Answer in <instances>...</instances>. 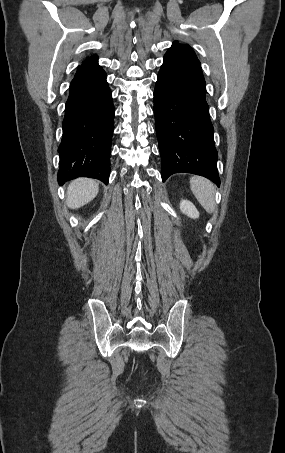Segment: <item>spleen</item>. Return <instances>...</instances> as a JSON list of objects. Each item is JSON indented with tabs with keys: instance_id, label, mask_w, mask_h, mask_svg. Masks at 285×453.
I'll return each instance as SVG.
<instances>
[{
	"instance_id": "spleen-1",
	"label": "spleen",
	"mask_w": 285,
	"mask_h": 453,
	"mask_svg": "<svg viewBox=\"0 0 285 453\" xmlns=\"http://www.w3.org/2000/svg\"><path fill=\"white\" fill-rule=\"evenodd\" d=\"M190 188L197 198L198 202L208 212L212 213L215 210V187L211 181L201 176H193L190 178Z\"/></svg>"
}]
</instances>
